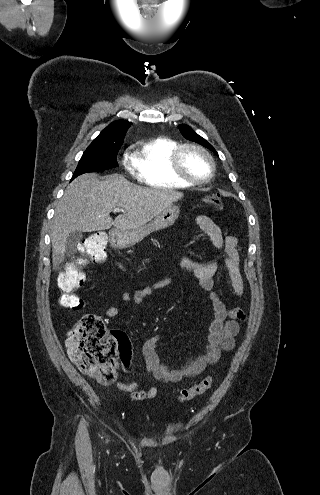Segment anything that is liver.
<instances>
[{
    "label": "liver",
    "instance_id": "obj_1",
    "mask_svg": "<svg viewBox=\"0 0 320 495\" xmlns=\"http://www.w3.org/2000/svg\"><path fill=\"white\" fill-rule=\"evenodd\" d=\"M183 197L171 190L148 189L113 174L100 181L94 174H84L68 185L55 210L51 225L52 264L56 269L65 259L66 241L74 231H116L139 228ZM122 208L113 219L110 213Z\"/></svg>",
    "mask_w": 320,
    "mask_h": 495
}]
</instances>
